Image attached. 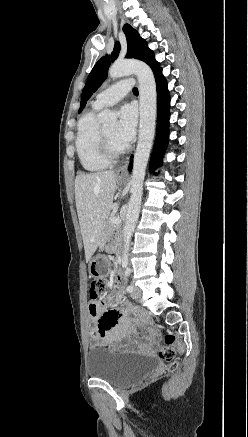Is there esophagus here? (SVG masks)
Wrapping results in <instances>:
<instances>
[{
    "mask_svg": "<svg viewBox=\"0 0 248 437\" xmlns=\"http://www.w3.org/2000/svg\"><path fill=\"white\" fill-rule=\"evenodd\" d=\"M128 164H129V158L127 157L123 160L122 164L118 168L116 175L125 176L127 173Z\"/></svg>",
    "mask_w": 248,
    "mask_h": 437,
    "instance_id": "obj_1",
    "label": "esophagus"
}]
</instances>
